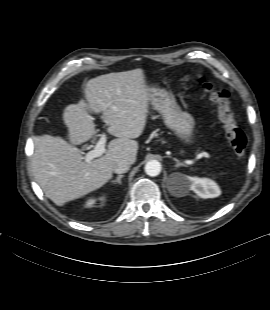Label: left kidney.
Listing matches in <instances>:
<instances>
[{
    "label": "left kidney",
    "mask_w": 270,
    "mask_h": 310,
    "mask_svg": "<svg viewBox=\"0 0 270 310\" xmlns=\"http://www.w3.org/2000/svg\"><path fill=\"white\" fill-rule=\"evenodd\" d=\"M184 184L201 198H215L221 194L219 186L209 178L184 176Z\"/></svg>",
    "instance_id": "5707ae66"
}]
</instances>
